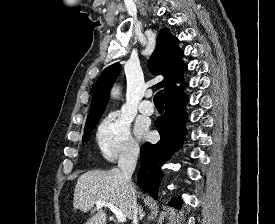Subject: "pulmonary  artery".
<instances>
[{"mask_svg": "<svg viewBox=\"0 0 275 224\" xmlns=\"http://www.w3.org/2000/svg\"><path fill=\"white\" fill-rule=\"evenodd\" d=\"M139 111L145 115H152L154 113V106L147 97L139 104Z\"/></svg>", "mask_w": 275, "mask_h": 224, "instance_id": "1", "label": "pulmonary artery"}]
</instances>
